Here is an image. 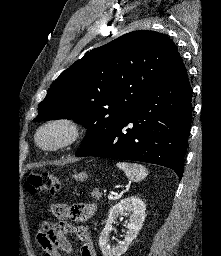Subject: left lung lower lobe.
Returning <instances> with one entry per match:
<instances>
[{"instance_id":"left-lung-lower-lobe-1","label":"left lung lower lobe","mask_w":221,"mask_h":256,"mask_svg":"<svg viewBox=\"0 0 221 256\" xmlns=\"http://www.w3.org/2000/svg\"><path fill=\"white\" fill-rule=\"evenodd\" d=\"M191 98L192 89L183 67L75 155L159 164L182 178L192 119Z\"/></svg>"}]
</instances>
